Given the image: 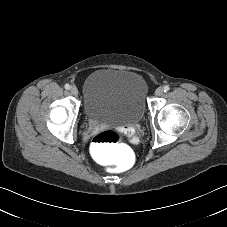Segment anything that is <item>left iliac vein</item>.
Segmentation results:
<instances>
[{
    "label": "left iliac vein",
    "mask_w": 227,
    "mask_h": 227,
    "mask_svg": "<svg viewBox=\"0 0 227 227\" xmlns=\"http://www.w3.org/2000/svg\"><path fill=\"white\" fill-rule=\"evenodd\" d=\"M164 90L162 87H158L155 91L156 96H161L163 94Z\"/></svg>",
    "instance_id": "1"
}]
</instances>
